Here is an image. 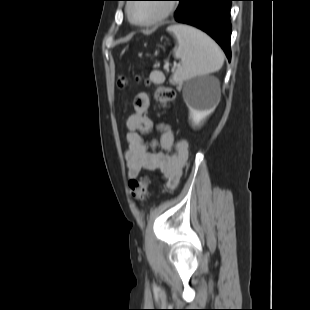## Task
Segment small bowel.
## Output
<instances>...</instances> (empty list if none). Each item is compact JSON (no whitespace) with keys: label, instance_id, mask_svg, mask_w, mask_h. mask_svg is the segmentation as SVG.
<instances>
[{"label":"small bowel","instance_id":"1","mask_svg":"<svg viewBox=\"0 0 310 310\" xmlns=\"http://www.w3.org/2000/svg\"><path fill=\"white\" fill-rule=\"evenodd\" d=\"M151 97L148 92H139L134 98V110L127 118L125 152L127 176L136 179L142 170L159 171L166 181L168 190L177 187L181 180L188 158V141L184 138L175 140L170 126L160 124L158 140H146L143 134L153 128V121L148 117ZM159 147L161 151L154 150Z\"/></svg>","mask_w":310,"mask_h":310}]
</instances>
